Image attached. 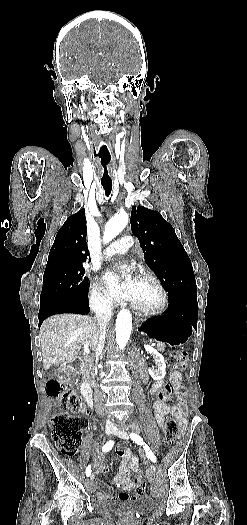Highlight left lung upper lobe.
Returning <instances> with one entry per match:
<instances>
[{
  "instance_id": "obj_1",
  "label": "left lung upper lobe",
  "mask_w": 247,
  "mask_h": 525,
  "mask_svg": "<svg viewBox=\"0 0 247 525\" xmlns=\"http://www.w3.org/2000/svg\"><path fill=\"white\" fill-rule=\"evenodd\" d=\"M130 223L146 263L162 282L169 298L197 295L191 261L174 228L162 215L143 206L132 207Z\"/></svg>"
}]
</instances>
